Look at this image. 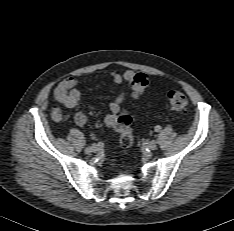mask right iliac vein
<instances>
[{"label":"right iliac vein","mask_w":234,"mask_h":231,"mask_svg":"<svg viewBox=\"0 0 234 231\" xmlns=\"http://www.w3.org/2000/svg\"><path fill=\"white\" fill-rule=\"evenodd\" d=\"M97 151H99V147H94V148H92V147H87V148L85 149V153H86V154H89V153H91V152H97Z\"/></svg>","instance_id":"right-iliac-vein-1"}]
</instances>
